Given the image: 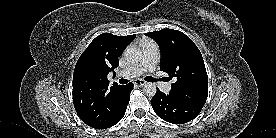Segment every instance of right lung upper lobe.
<instances>
[{"label":"right lung upper lobe","mask_w":276,"mask_h":138,"mask_svg":"<svg viewBox=\"0 0 276 138\" xmlns=\"http://www.w3.org/2000/svg\"><path fill=\"white\" fill-rule=\"evenodd\" d=\"M135 35L97 36L78 59L73 75V102L79 117L90 127L102 128L116 113L123 85L109 86L107 75L118 67V57Z\"/></svg>","instance_id":"cb5924a9"}]
</instances>
